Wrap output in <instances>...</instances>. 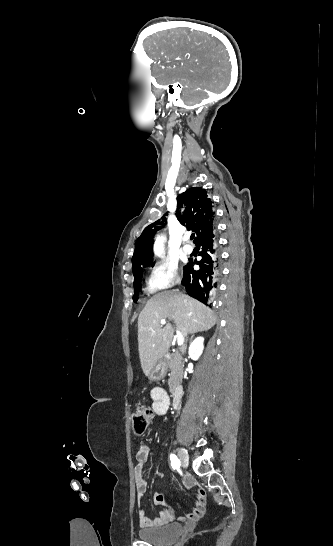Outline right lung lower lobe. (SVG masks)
<instances>
[{
	"instance_id": "obj_1",
	"label": "right lung lower lobe",
	"mask_w": 333,
	"mask_h": 546,
	"mask_svg": "<svg viewBox=\"0 0 333 546\" xmlns=\"http://www.w3.org/2000/svg\"><path fill=\"white\" fill-rule=\"evenodd\" d=\"M195 244L202 250L199 254L202 259L200 261L190 259L189 263L184 266L182 285L187 294L211 307L220 274L219 251L214 235V227L198 238ZM194 264L199 265L200 269L194 270Z\"/></svg>"
}]
</instances>
